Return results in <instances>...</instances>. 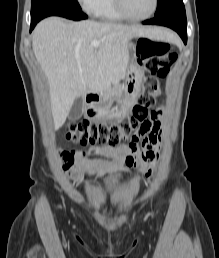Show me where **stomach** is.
<instances>
[{"mask_svg": "<svg viewBox=\"0 0 219 258\" xmlns=\"http://www.w3.org/2000/svg\"><path fill=\"white\" fill-rule=\"evenodd\" d=\"M132 52L131 63L122 86L101 93L97 100L88 102L85 116L94 121H108L125 118L136 103L145 75L138 62L137 44L128 42Z\"/></svg>", "mask_w": 219, "mask_h": 258, "instance_id": "0dacf381", "label": "stomach"}]
</instances>
